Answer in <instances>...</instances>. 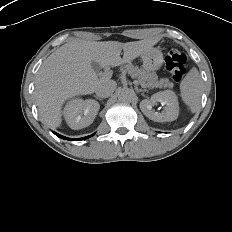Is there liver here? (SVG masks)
Wrapping results in <instances>:
<instances>
[{"mask_svg": "<svg viewBox=\"0 0 232 232\" xmlns=\"http://www.w3.org/2000/svg\"><path fill=\"white\" fill-rule=\"evenodd\" d=\"M157 42V39L127 43L72 40L62 45L44 61L36 76L35 97L42 123L59 127L61 108L67 99L96 91L103 80L92 68V61L103 68L119 66L142 55Z\"/></svg>", "mask_w": 232, "mask_h": 232, "instance_id": "1", "label": "liver"}]
</instances>
